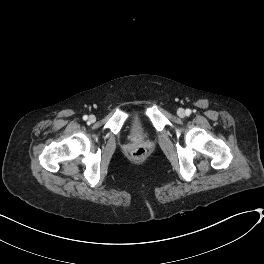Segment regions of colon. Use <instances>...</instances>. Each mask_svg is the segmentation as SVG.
Instances as JSON below:
<instances>
[{
	"label": "colon",
	"mask_w": 264,
	"mask_h": 264,
	"mask_svg": "<svg viewBox=\"0 0 264 264\" xmlns=\"http://www.w3.org/2000/svg\"><path fill=\"white\" fill-rule=\"evenodd\" d=\"M145 154H146L145 149L142 148V147H139V148H137L135 150L133 156H134L135 159L141 160V159H143L145 157Z\"/></svg>",
	"instance_id": "colon-1"
}]
</instances>
